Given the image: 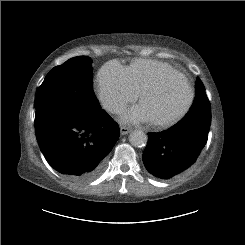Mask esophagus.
Returning a JSON list of instances; mask_svg holds the SVG:
<instances>
[{"label":"esophagus","mask_w":245,"mask_h":245,"mask_svg":"<svg viewBox=\"0 0 245 245\" xmlns=\"http://www.w3.org/2000/svg\"><path fill=\"white\" fill-rule=\"evenodd\" d=\"M131 131V128L127 127V126H120V133L121 135H126Z\"/></svg>","instance_id":"obj_1"}]
</instances>
